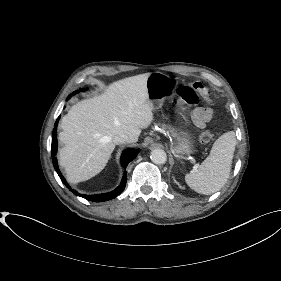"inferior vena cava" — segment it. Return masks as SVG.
I'll use <instances>...</instances> for the list:
<instances>
[{
    "label": "inferior vena cava",
    "mask_w": 281,
    "mask_h": 281,
    "mask_svg": "<svg viewBox=\"0 0 281 281\" xmlns=\"http://www.w3.org/2000/svg\"><path fill=\"white\" fill-rule=\"evenodd\" d=\"M113 141L116 143V144H123V143H129L130 142V138L128 135L124 134V133H120L118 135H116L114 138H113Z\"/></svg>",
    "instance_id": "inferior-vena-cava-1"
}]
</instances>
